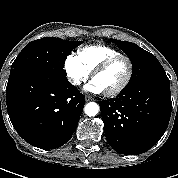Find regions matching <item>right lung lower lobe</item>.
Segmentation results:
<instances>
[{
    "label": "right lung lower lobe",
    "instance_id": "right-lung-lower-lobe-1",
    "mask_svg": "<svg viewBox=\"0 0 178 178\" xmlns=\"http://www.w3.org/2000/svg\"><path fill=\"white\" fill-rule=\"evenodd\" d=\"M6 102L17 133L41 149L68 142L85 105L84 95L54 70L10 74Z\"/></svg>",
    "mask_w": 178,
    "mask_h": 178
}]
</instances>
